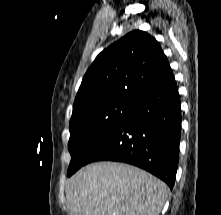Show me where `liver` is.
<instances>
[{"instance_id": "obj_1", "label": "liver", "mask_w": 221, "mask_h": 215, "mask_svg": "<svg viewBox=\"0 0 221 215\" xmlns=\"http://www.w3.org/2000/svg\"><path fill=\"white\" fill-rule=\"evenodd\" d=\"M167 185L152 174L123 163L87 165L69 179L70 215H159Z\"/></svg>"}]
</instances>
